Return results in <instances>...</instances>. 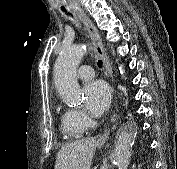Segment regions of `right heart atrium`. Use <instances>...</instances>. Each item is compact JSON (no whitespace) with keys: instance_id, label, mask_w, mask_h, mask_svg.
I'll use <instances>...</instances> for the list:
<instances>
[{"instance_id":"1","label":"right heart atrium","mask_w":177,"mask_h":169,"mask_svg":"<svg viewBox=\"0 0 177 169\" xmlns=\"http://www.w3.org/2000/svg\"><path fill=\"white\" fill-rule=\"evenodd\" d=\"M69 118L73 126L86 128L92 124L90 117L79 109H70L69 111Z\"/></svg>"}]
</instances>
